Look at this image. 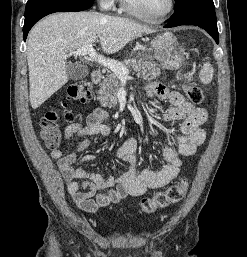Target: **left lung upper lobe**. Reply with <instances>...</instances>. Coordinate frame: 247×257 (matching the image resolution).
Masks as SVG:
<instances>
[{"instance_id": "left-lung-upper-lobe-1", "label": "left lung upper lobe", "mask_w": 247, "mask_h": 257, "mask_svg": "<svg viewBox=\"0 0 247 257\" xmlns=\"http://www.w3.org/2000/svg\"><path fill=\"white\" fill-rule=\"evenodd\" d=\"M192 1H195V0H175V4H176V8L175 9H178Z\"/></svg>"}]
</instances>
